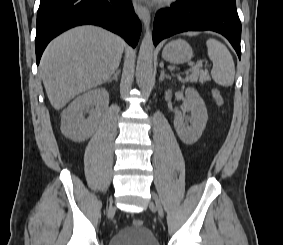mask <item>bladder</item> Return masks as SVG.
<instances>
[{
    "label": "bladder",
    "instance_id": "bladder-1",
    "mask_svg": "<svg viewBox=\"0 0 283 245\" xmlns=\"http://www.w3.org/2000/svg\"><path fill=\"white\" fill-rule=\"evenodd\" d=\"M108 245H159L153 232L144 226L125 227L117 231Z\"/></svg>",
    "mask_w": 283,
    "mask_h": 245
}]
</instances>
